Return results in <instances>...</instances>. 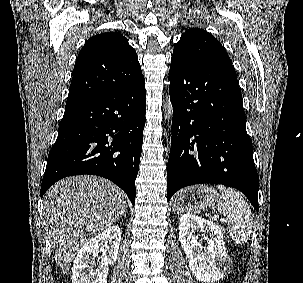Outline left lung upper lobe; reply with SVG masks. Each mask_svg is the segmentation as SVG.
<instances>
[{
    "label": "left lung upper lobe",
    "mask_w": 303,
    "mask_h": 283,
    "mask_svg": "<svg viewBox=\"0 0 303 283\" xmlns=\"http://www.w3.org/2000/svg\"><path fill=\"white\" fill-rule=\"evenodd\" d=\"M172 59L186 64L199 65L211 62L230 63L231 60L221 43L206 30H186L176 43Z\"/></svg>",
    "instance_id": "left-lung-upper-lobe-1"
}]
</instances>
